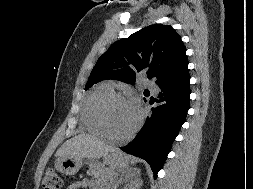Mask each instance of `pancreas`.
I'll return each instance as SVG.
<instances>
[{
	"mask_svg": "<svg viewBox=\"0 0 253 189\" xmlns=\"http://www.w3.org/2000/svg\"><path fill=\"white\" fill-rule=\"evenodd\" d=\"M89 175L98 179L102 184L108 186L112 182L114 171L98 165H92L88 171Z\"/></svg>",
	"mask_w": 253,
	"mask_h": 189,
	"instance_id": "1",
	"label": "pancreas"
}]
</instances>
